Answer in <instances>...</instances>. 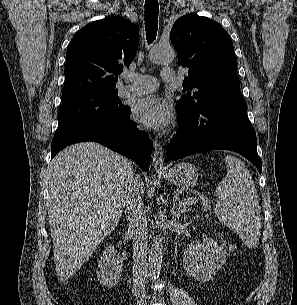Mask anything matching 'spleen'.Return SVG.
<instances>
[{
    "label": "spleen",
    "mask_w": 297,
    "mask_h": 305,
    "mask_svg": "<svg viewBox=\"0 0 297 305\" xmlns=\"http://www.w3.org/2000/svg\"><path fill=\"white\" fill-rule=\"evenodd\" d=\"M225 163L227 174L216 187L219 201L215 213L246 246L254 248L260 237L261 217L252 176L244 163L234 156H225Z\"/></svg>",
    "instance_id": "obj_1"
}]
</instances>
